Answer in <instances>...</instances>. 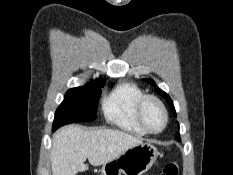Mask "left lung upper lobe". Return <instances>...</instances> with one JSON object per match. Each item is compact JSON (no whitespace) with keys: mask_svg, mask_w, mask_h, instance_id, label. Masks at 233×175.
<instances>
[{"mask_svg":"<svg viewBox=\"0 0 233 175\" xmlns=\"http://www.w3.org/2000/svg\"><path fill=\"white\" fill-rule=\"evenodd\" d=\"M144 80H145L146 82H148V83H151L152 85L155 84L154 81L151 80V79H144ZM154 87H155V90H156L157 93L161 94L164 98L167 99V102H168L170 108L172 109L174 115L176 116V111H175L173 102H172V100L170 99L169 95L166 94V93H165L164 91H162L161 89H159L157 86H154ZM176 139H177V140H180V135H179V133H177Z\"/></svg>","mask_w":233,"mask_h":175,"instance_id":"1","label":"left lung upper lobe"}]
</instances>
